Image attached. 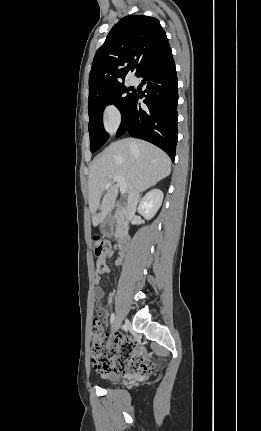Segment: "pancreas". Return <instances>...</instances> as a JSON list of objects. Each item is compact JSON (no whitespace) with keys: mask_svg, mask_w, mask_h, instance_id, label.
Listing matches in <instances>:
<instances>
[{"mask_svg":"<svg viewBox=\"0 0 261 431\" xmlns=\"http://www.w3.org/2000/svg\"><path fill=\"white\" fill-rule=\"evenodd\" d=\"M115 218H116V222H117V225H116V236H119L121 228L125 225L126 218H125L124 213L120 209L117 210Z\"/></svg>","mask_w":261,"mask_h":431,"instance_id":"1","label":"pancreas"}]
</instances>
